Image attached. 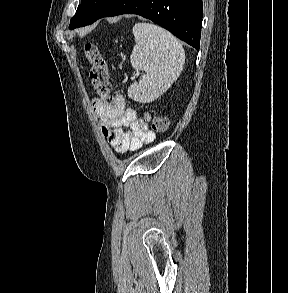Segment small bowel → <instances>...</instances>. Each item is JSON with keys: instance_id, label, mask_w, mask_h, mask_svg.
Masks as SVG:
<instances>
[{"instance_id": "small-bowel-1", "label": "small bowel", "mask_w": 288, "mask_h": 293, "mask_svg": "<svg viewBox=\"0 0 288 293\" xmlns=\"http://www.w3.org/2000/svg\"><path fill=\"white\" fill-rule=\"evenodd\" d=\"M93 109L103 136L116 152L137 151L155 140V134L148 126L149 114L139 119L135 110L126 107L125 98L120 93H116L109 104L95 99Z\"/></svg>"}]
</instances>
